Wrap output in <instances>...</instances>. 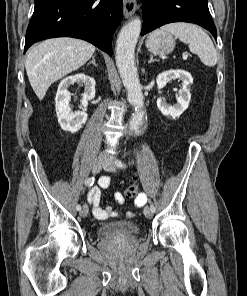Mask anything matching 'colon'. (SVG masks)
Returning a JSON list of instances; mask_svg holds the SVG:
<instances>
[{
    "mask_svg": "<svg viewBox=\"0 0 247 296\" xmlns=\"http://www.w3.org/2000/svg\"><path fill=\"white\" fill-rule=\"evenodd\" d=\"M137 193H138V184L133 183L126 188V190L124 192V198L132 199L137 195Z\"/></svg>",
    "mask_w": 247,
    "mask_h": 296,
    "instance_id": "obj_1",
    "label": "colon"
}]
</instances>
